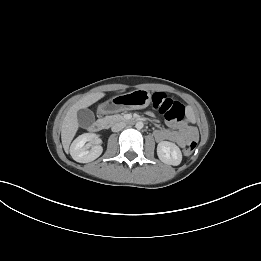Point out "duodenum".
I'll return each instance as SVG.
<instances>
[{"label":"duodenum","instance_id":"410a0bca","mask_svg":"<svg viewBox=\"0 0 261 261\" xmlns=\"http://www.w3.org/2000/svg\"><path fill=\"white\" fill-rule=\"evenodd\" d=\"M110 108H111V106L106 107L107 110L110 109ZM128 122L129 123H136V122H138V120L134 119V118H130V119H128ZM106 127H107V121L104 120V119H99L98 121H96V123L94 125V129L98 130V131L105 129Z\"/></svg>","mask_w":261,"mask_h":261}]
</instances>
